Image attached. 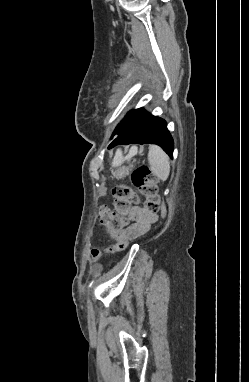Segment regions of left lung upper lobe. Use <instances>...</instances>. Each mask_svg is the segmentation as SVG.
Here are the masks:
<instances>
[{"label": "left lung upper lobe", "mask_w": 249, "mask_h": 382, "mask_svg": "<svg viewBox=\"0 0 249 382\" xmlns=\"http://www.w3.org/2000/svg\"><path fill=\"white\" fill-rule=\"evenodd\" d=\"M145 112L146 111L143 108L130 111L116 127L112 136L118 135L119 133H123L130 129L145 114Z\"/></svg>", "instance_id": "obj_1"}]
</instances>
